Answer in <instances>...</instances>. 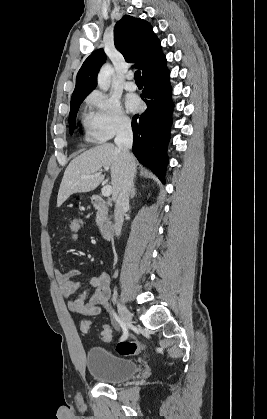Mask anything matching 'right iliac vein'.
<instances>
[{"label":"right iliac vein","mask_w":267,"mask_h":419,"mask_svg":"<svg viewBox=\"0 0 267 419\" xmlns=\"http://www.w3.org/2000/svg\"><path fill=\"white\" fill-rule=\"evenodd\" d=\"M117 306H118V312H119L122 322L125 324L127 328H130L133 324V319L129 310L122 302H118Z\"/></svg>","instance_id":"right-iliac-vein-1"}]
</instances>
